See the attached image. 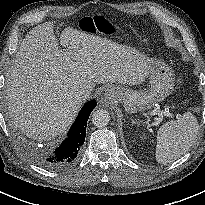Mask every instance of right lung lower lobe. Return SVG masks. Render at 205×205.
I'll return each instance as SVG.
<instances>
[{
    "mask_svg": "<svg viewBox=\"0 0 205 205\" xmlns=\"http://www.w3.org/2000/svg\"><path fill=\"white\" fill-rule=\"evenodd\" d=\"M96 104L95 100H91L83 106L68 132V137L54 152L28 149L30 157L38 164L52 170L73 165L85 141L87 121Z\"/></svg>",
    "mask_w": 205,
    "mask_h": 205,
    "instance_id": "obj_1",
    "label": "right lung lower lobe"
}]
</instances>
